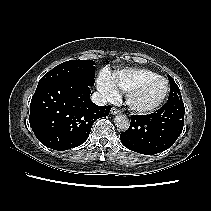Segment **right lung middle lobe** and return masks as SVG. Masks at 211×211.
I'll use <instances>...</instances> for the list:
<instances>
[{
    "label": "right lung middle lobe",
    "instance_id": "obj_1",
    "mask_svg": "<svg viewBox=\"0 0 211 211\" xmlns=\"http://www.w3.org/2000/svg\"><path fill=\"white\" fill-rule=\"evenodd\" d=\"M95 62L92 60H69L56 66L46 73L39 81L38 86L53 81L79 78L89 84L94 85Z\"/></svg>",
    "mask_w": 211,
    "mask_h": 211
}]
</instances>
